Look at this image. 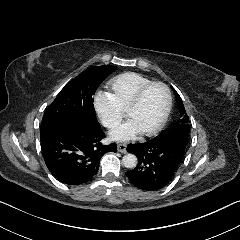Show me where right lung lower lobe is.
I'll list each match as a JSON object with an SVG mask.
<instances>
[{"instance_id":"obj_1","label":"right lung lower lobe","mask_w":240,"mask_h":240,"mask_svg":"<svg viewBox=\"0 0 240 240\" xmlns=\"http://www.w3.org/2000/svg\"><path fill=\"white\" fill-rule=\"evenodd\" d=\"M99 124L76 122L41 132L45 163L60 182L79 185L89 181L99 169L101 157L116 152L117 145H103Z\"/></svg>"}]
</instances>
